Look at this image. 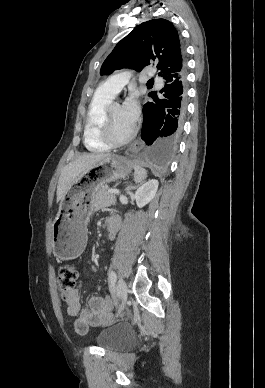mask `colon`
I'll use <instances>...</instances> for the list:
<instances>
[{"label":"colon","mask_w":265,"mask_h":388,"mask_svg":"<svg viewBox=\"0 0 265 388\" xmlns=\"http://www.w3.org/2000/svg\"><path fill=\"white\" fill-rule=\"evenodd\" d=\"M77 278L78 272L72 263H67L60 268L58 275V289L64 298H67L68 294L74 289ZM104 302L108 308L113 307L112 299L110 297L104 298Z\"/></svg>","instance_id":"1"}]
</instances>
